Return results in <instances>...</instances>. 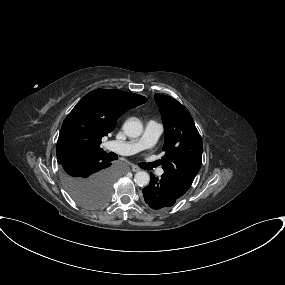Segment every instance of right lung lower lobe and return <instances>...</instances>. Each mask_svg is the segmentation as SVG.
I'll return each instance as SVG.
<instances>
[{"mask_svg":"<svg viewBox=\"0 0 285 285\" xmlns=\"http://www.w3.org/2000/svg\"><path fill=\"white\" fill-rule=\"evenodd\" d=\"M111 159L103 152H90L60 164L69 175L85 180L114 178Z\"/></svg>","mask_w":285,"mask_h":285,"instance_id":"right-lung-lower-lobe-1","label":"right lung lower lobe"}]
</instances>
